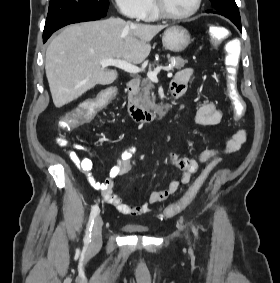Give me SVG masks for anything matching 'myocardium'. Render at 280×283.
Listing matches in <instances>:
<instances>
[{
	"label": "myocardium",
	"instance_id": "obj_1",
	"mask_svg": "<svg viewBox=\"0 0 280 283\" xmlns=\"http://www.w3.org/2000/svg\"><path fill=\"white\" fill-rule=\"evenodd\" d=\"M151 2H152L153 9H154L155 13L157 14V16L162 18V19H165V20H185V19H188V18L192 17L193 15H195L199 11L201 4H202V0H195V4L190 11H188L184 14H173V13H170L169 11H167L164 8L161 0H151Z\"/></svg>",
	"mask_w": 280,
	"mask_h": 283
}]
</instances>
